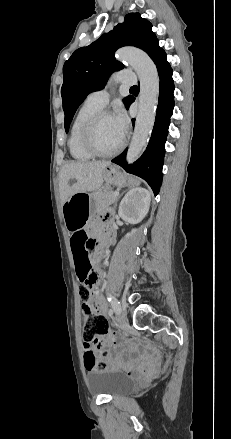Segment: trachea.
<instances>
[{"label": "trachea", "mask_w": 231, "mask_h": 439, "mask_svg": "<svg viewBox=\"0 0 231 439\" xmlns=\"http://www.w3.org/2000/svg\"><path fill=\"white\" fill-rule=\"evenodd\" d=\"M130 89H131V90H136V89H138V88H137V86H132Z\"/></svg>", "instance_id": "1"}]
</instances>
